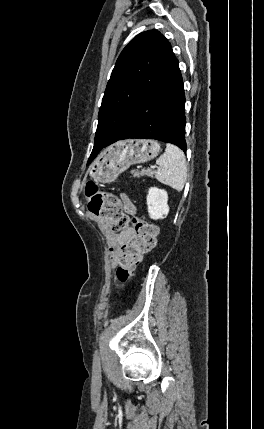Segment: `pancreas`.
Listing matches in <instances>:
<instances>
[{"instance_id": "obj_1", "label": "pancreas", "mask_w": 264, "mask_h": 429, "mask_svg": "<svg viewBox=\"0 0 264 429\" xmlns=\"http://www.w3.org/2000/svg\"><path fill=\"white\" fill-rule=\"evenodd\" d=\"M131 174L133 175V177H141V176H149V177H153L154 175V171L147 169V170H131Z\"/></svg>"}]
</instances>
